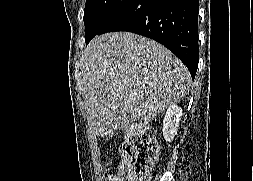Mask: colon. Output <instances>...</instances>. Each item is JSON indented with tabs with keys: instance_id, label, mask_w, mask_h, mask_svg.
Listing matches in <instances>:
<instances>
[{
	"instance_id": "colon-1",
	"label": "colon",
	"mask_w": 253,
	"mask_h": 181,
	"mask_svg": "<svg viewBox=\"0 0 253 181\" xmlns=\"http://www.w3.org/2000/svg\"><path fill=\"white\" fill-rule=\"evenodd\" d=\"M158 152V144L151 127L140 125L130 129L122 145L123 160L120 172L113 181H148Z\"/></svg>"
}]
</instances>
